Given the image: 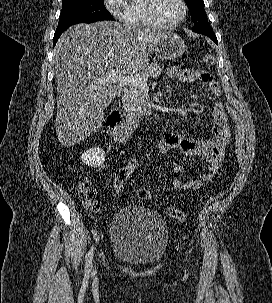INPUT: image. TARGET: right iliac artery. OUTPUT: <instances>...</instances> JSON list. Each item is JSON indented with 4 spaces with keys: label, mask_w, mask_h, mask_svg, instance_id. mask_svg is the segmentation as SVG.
<instances>
[{
    "label": "right iliac artery",
    "mask_w": 272,
    "mask_h": 303,
    "mask_svg": "<svg viewBox=\"0 0 272 303\" xmlns=\"http://www.w3.org/2000/svg\"><path fill=\"white\" fill-rule=\"evenodd\" d=\"M93 252H94V246H92L88 252L87 260H86V266H85V275H89L91 272L92 267V260H93Z\"/></svg>",
    "instance_id": "right-iliac-artery-1"
}]
</instances>
